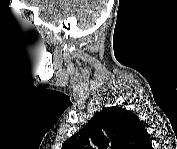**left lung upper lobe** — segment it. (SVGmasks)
I'll return each instance as SVG.
<instances>
[{
	"label": "left lung upper lobe",
	"mask_w": 177,
	"mask_h": 149,
	"mask_svg": "<svg viewBox=\"0 0 177 149\" xmlns=\"http://www.w3.org/2000/svg\"><path fill=\"white\" fill-rule=\"evenodd\" d=\"M146 135L136 114L117 106L107 107L64 142L62 149H143Z\"/></svg>",
	"instance_id": "obj_1"
}]
</instances>
